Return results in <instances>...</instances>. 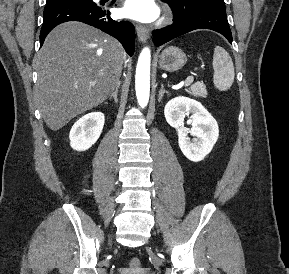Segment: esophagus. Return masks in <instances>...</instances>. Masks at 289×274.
I'll return each mask as SVG.
<instances>
[{
	"label": "esophagus",
	"instance_id": "obj_1",
	"mask_svg": "<svg viewBox=\"0 0 289 274\" xmlns=\"http://www.w3.org/2000/svg\"><path fill=\"white\" fill-rule=\"evenodd\" d=\"M136 32L138 39L141 43H145L149 37V31L146 27L141 24L136 25Z\"/></svg>",
	"mask_w": 289,
	"mask_h": 274
}]
</instances>
